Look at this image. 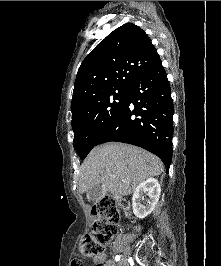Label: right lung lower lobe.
I'll return each instance as SVG.
<instances>
[{
  "mask_svg": "<svg viewBox=\"0 0 221 266\" xmlns=\"http://www.w3.org/2000/svg\"><path fill=\"white\" fill-rule=\"evenodd\" d=\"M173 114L171 88L160 63L130 86L125 107L96 145L117 141L142 147L157 155L168 172L172 160Z\"/></svg>",
  "mask_w": 221,
  "mask_h": 266,
  "instance_id": "obj_1",
  "label": "right lung lower lobe"
}]
</instances>
